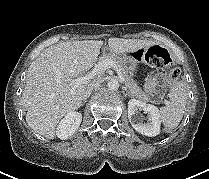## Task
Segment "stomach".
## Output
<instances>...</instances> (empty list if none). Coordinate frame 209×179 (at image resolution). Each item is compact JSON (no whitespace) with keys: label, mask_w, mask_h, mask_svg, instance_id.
Returning a JSON list of instances; mask_svg holds the SVG:
<instances>
[{"label":"stomach","mask_w":209,"mask_h":179,"mask_svg":"<svg viewBox=\"0 0 209 179\" xmlns=\"http://www.w3.org/2000/svg\"><path fill=\"white\" fill-rule=\"evenodd\" d=\"M135 53L136 51L122 57L123 65L126 71L131 75L135 73L139 64V60L134 55Z\"/></svg>","instance_id":"0dacf381"}]
</instances>
